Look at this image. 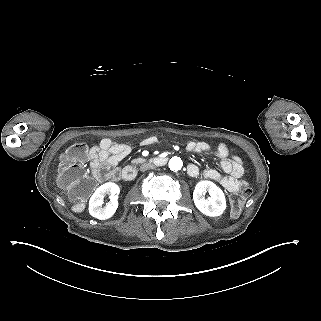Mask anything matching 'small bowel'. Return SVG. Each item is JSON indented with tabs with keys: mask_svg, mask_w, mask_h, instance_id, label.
Listing matches in <instances>:
<instances>
[{
	"mask_svg": "<svg viewBox=\"0 0 321 321\" xmlns=\"http://www.w3.org/2000/svg\"><path fill=\"white\" fill-rule=\"evenodd\" d=\"M156 136H148L142 140L145 146L156 144ZM186 149L189 153H211L219 159V166L223 173L213 168L203 171L206 179L213 180L230 192H237L246 183L241 180L244 175L242 160L238 156H230L224 143L218 144L214 149L206 142L190 141ZM131 152L127 144L116 143L110 138H104L98 145L90 149L88 159L93 175L102 181L106 178L117 177V164ZM199 167L195 164L188 166V173L192 177L199 175Z\"/></svg>",
	"mask_w": 321,
	"mask_h": 321,
	"instance_id": "c3829d8e",
	"label": "small bowel"
}]
</instances>
